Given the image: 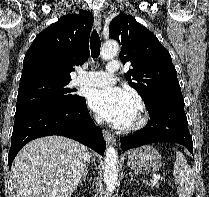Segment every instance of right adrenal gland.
<instances>
[{
    "label": "right adrenal gland",
    "mask_w": 209,
    "mask_h": 197,
    "mask_svg": "<svg viewBox=\"0 0 209 197\" xmlns=\"http://www.w3.org/2000/svg\"><path fill=\"white\" fill-rule=\"evenodd\" d=\"M87 172H88L87 169H85V170L83 171V173H82V180H84V181L86 180ZM82 180H80V182H79L80 184H82V183H81Z\"/></svg>",
    "instance_id": "obj_1"
}]
</instances>
